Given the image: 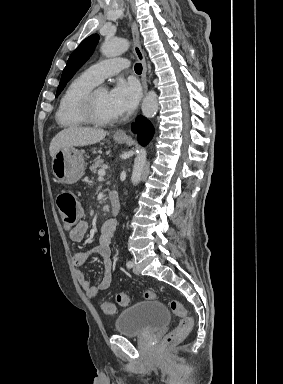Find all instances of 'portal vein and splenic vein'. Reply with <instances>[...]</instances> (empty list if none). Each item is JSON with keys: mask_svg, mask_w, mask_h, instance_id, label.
<instances>
[{"mask_svg": "<svg viewBox=\"0 0 283 384\" xmlns=\"http://www.w3.org/2000/svg\"><path fill=\"white\" fill-rule=\"evenodd\" d=\"M105 174H106L105 170H98L99 178H102V176H105Z\"/></svg>", "mask_w": 283, "mask_h": 384, "instance_id": "portal-vein-and-splenic-vein-1", "label": "portal vein and splenic vein"}]
</instances>
